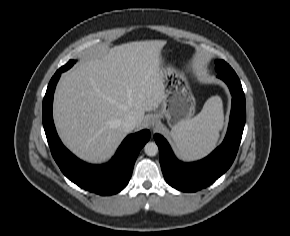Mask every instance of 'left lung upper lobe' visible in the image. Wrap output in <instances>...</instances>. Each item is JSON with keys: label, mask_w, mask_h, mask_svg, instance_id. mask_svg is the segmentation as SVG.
Listing matches in <instances>:
<instances>
[{"label": "left lung upper lobe", "mask_w": 290, "mask_h": 236, "mask_svg": "<svg viewBox=\"0 0 290 236\" xmlns=\"http://www.w3.org/2000/svg\"><path fill=\"white\" fill-rule=\"evenodd\" d=\"M216 63V71L217 72H230L234 71L224 60H217Z\"/></svg>", "instance_id": "left-lung-upper-lobe-1"}]
</instances>
